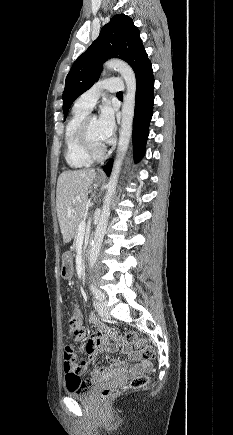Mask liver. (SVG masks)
Segmentation results:
<instances>
[{"instance_id": "liver-1", "label": "liver", "mask_w": 233, "mask_h": 435, "mask_svg": "<svg viewBox=\"0 0 233 435\" xmlns=\"http://www.w3.org/2000/svg\"><path fill=\"white\" fill-rule=\"evenodd\" d=\"M95 170L64 171L57 181L56 208L64 243L72 240L77 224L84 216L88 189L95 178Z\"/></svg>"}]
</instances>
